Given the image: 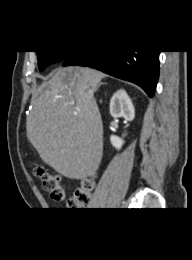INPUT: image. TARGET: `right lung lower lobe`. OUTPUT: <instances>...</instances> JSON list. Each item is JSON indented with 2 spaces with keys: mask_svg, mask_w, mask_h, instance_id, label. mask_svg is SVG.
<instances>
[{
  "mask_svg": "<svg viewBox=\"0 0 192 260\" xmlns=\"http://www.w3.org/2000/svg\"><path fill=\"white\" fill-rule=\"evenodd\" d=\"M159 53L116 50L72 52L63 61V66L80 65L98 69L139 85L152 97L159 77Z\"/></svg>",
  "mask_w": 192,
  "mask_h": 260,
  "instance_id": "right-lung-lower-lobe-1",
  "label": "right lung lower lobe"
}]
</instances>
